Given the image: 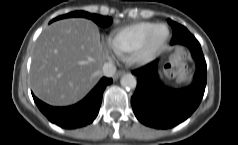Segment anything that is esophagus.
I'll use <instances>...</instances> for the list:
<instances>
[{"mask_svg": "<svg viewBox=\"0 0 238 145\" xmlns=\"http://www.w3.org/2000/svg\"><path fill=\"white\" fill-rule=\"evenodd\" d=\"M125 73L123 70H119L115 75H114V80H117L120 76H122Z\"/></svg>", "mask_w": 238, "mask_h": 145, "instance_id": "1", "label": "esophagus"}]
</instances>
